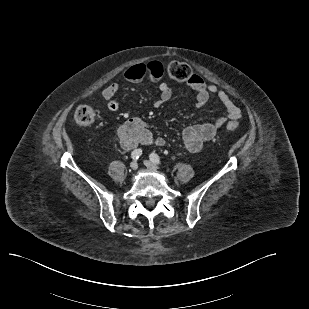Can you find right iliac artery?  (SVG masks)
<instances>
[{
	"mask_svg": "<svg viewBox=\"0 0 309 309\" xmlns=\"http://www.w3.org/2000/svg\"><path fill=\"white\" fill-rule=\"evenodd\" d=\"M141 155H142V150H141V149H135V150L131 153V158H132V159H138Z\"/></svg>",
	"mask_w": 309,
	"mask_h": 309,
	"instance_id": "82829eb1",
	"label": "right iliac artery"
}]
</instances>
